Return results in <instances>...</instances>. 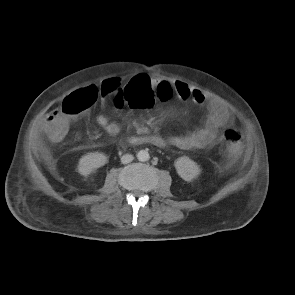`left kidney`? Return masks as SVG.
Wrapping results in <instances>:
<instances>
[{"mask_svg":"<svg viewBox=\"0 0 295 295\" xmlns=\"http://www.w3.org/2000/svg\"><path fill=\"white\" fill-rule=\"evenodd\" d=\"M174 166L178 175L187 182L193 181L200 173L198 165L187 156L176 159Z\"/></svg>","mask_w":295,"mask_h":295,"instance_id":"left-kidney-1","label":"left kidney"}]
</instances>
